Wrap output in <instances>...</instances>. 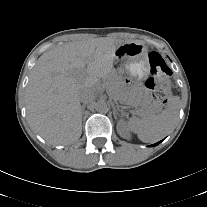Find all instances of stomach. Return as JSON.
I'll return each mask as SVG.
<instances>
[{
	"label": "stomach",
	"mask_w": 207,
	"mask_h": 207,
	"mask_svg": "<svg viewBox=\"0 0 207 207\" xmlns=\"http://www.w3.org/2000/svg\"><path fill=\"white\" fill-rule=\"evenodd\" d=\"M115 60L123 65L124 70L131 76L141 80L148 76L149 62L145 45L129 42L120 45L115 52ZM120 86L119 101L126 106H135L144 101L142 90L130 91L118 80Z\"/></svg>",
	"instance_id": "0dacf381"
}]
</instances>
